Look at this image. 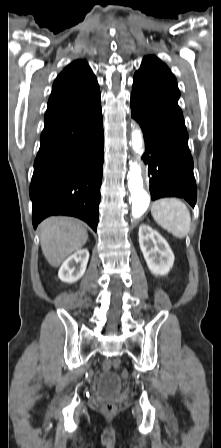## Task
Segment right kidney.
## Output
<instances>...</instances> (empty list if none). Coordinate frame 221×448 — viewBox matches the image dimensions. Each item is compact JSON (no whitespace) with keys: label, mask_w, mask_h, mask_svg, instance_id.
I'll list each match as a JSON object with an SVG mask.
<instances>
[{"label":"right kidney","mask_w":221,"mask_h":448,"mask_svg":"<svg viewBox=\"0 0 221 448\" xmlns=\"http://www.w3.org/2000/svg\"><path fill=\"white\" fill-rule=\"evenodd\" d=\"M88 260L89 251L87 249L78 250L62 264L58 272L59 279L67 283L79 280L86 271Z\"/></svg>","instance_id":"ca27d5eb"}]
</instances>
